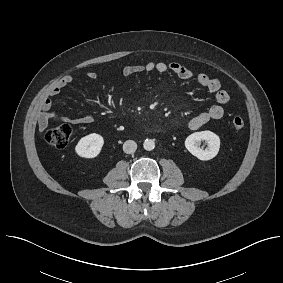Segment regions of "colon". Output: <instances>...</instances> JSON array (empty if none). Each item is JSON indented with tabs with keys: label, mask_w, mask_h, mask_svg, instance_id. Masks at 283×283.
Here are the masks:
<instances>
[{
	"label": "colon",
	"mask_w": 283,
	"mask_h": 283,
	"mask_svg": "<svg viewBox=\"0 0 283 283\" xmlns=\"http://www.w3.org/2000/svg\"><path fill=\"white\" fill-rule=\"evenodd\" d=\"M232 127L236 130H240L244 127V119L240 116H236L231 121ZM72 135V128L68 124H61L46 132V141L53 147L62 149L65 148L70 141Z\"/></svg>",
	"instance_id": "colon-1"
}]
</instances>
